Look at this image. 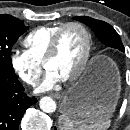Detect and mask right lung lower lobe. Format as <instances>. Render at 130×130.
Here are the masks:
<instances>
[{
  "label": "right lung lower lobe",
  "instance_id": "obj_1",
  "mask_svg": "<svg viewBox=\"0 0 130 130\" xmlns=\"http://www.w3.org/2000/svg\"><path fill=\"white\" fill-rule=\"evenodd\" d=\"M36 102L26 95L15 73L0 67V130H18L26 109Z\"/></svg>",
  "mask_w": 130,
  "mask_h": 130
}]
</instances>
